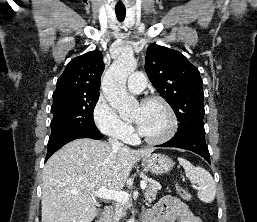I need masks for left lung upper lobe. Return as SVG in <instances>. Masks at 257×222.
<instances>
[{
	"mask_svg": "<svg viewBox=\"0 0 257 222\" xmlns=\"http://www.w3.org/2000/svg\"><path fill=\"white\" fill-rule=\"evenodd\" d=\"M145 70L180 122L175 136L205 134L203 82L198 68L180 52L152 44L147 48Z\"/></svg>",
	"mask_w": 257,
	"mask_h": 222,
	"instance_id": "left-lung-upper-lobe-1",
	"label": "left lung upper lobe"
}]
</instances>
